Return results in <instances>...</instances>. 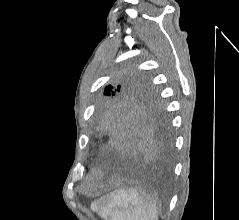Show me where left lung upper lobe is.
<instances>
[{
	"label": "left lung upper lobe",
	"instance_id": "5c2ea615",
	"mask_svg": "<svg viewBox=\"0 0 239 220\" xmlns=\"http://www.w3.org/2000/svg\"><path fill=\"white\" fill-rule=\"evenodd\" d=\"M146 76L142 73L131 76H120L114 83L109 84L103 91L104 99L97 106V116L104 110L124 106L133 110L162 111V103L156 91L146 83Z\"/></svg>",
	"mask_w": 239,
	"mask_h": 220
}]
</instances>
